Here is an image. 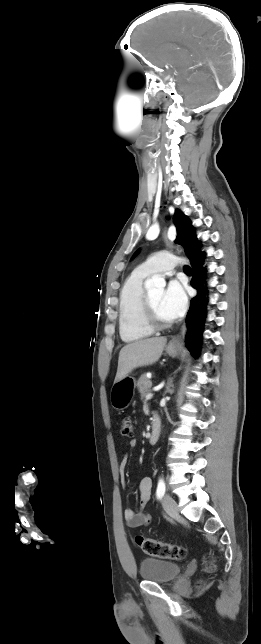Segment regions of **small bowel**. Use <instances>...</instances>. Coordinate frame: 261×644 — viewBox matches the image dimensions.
Instances as JSON below:
<instances>
[{
    "mask_svg": "<svg viewBox=\"0 0 261 644\" xmlns=\"http://www.w3.org/2000/svg\"><path fill=\"white\" fill-rule=\"evenodd\" d=\"M130 445L132 447H135L137 445V441L131 440ZM127 462H128V456L125 455L119 466L120 480L123 486H125L126 484L125 478H124V469L127 465ZM151 488H152L151 478L148 476L143 477L138 484L140 508L138 510L127 508L124 511V518L129 528L137 529L148 524L149 519L147 514L143 511V508L151 498Z\"/></svg>",
    "mask_w": 261,
    "mask_h": 644,
    "instance_id": "c3829d8e",
    "label": "small bowel"
}]
</instances>
